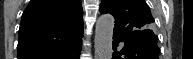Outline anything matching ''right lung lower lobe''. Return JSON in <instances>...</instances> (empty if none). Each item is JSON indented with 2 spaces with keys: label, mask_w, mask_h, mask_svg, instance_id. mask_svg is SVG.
<instances>
[{
  "label": "right lung lower lobe",
  "mask_w": 193,
  "mask_h": 59,
  "mask_svg": "<svg viewBox=\"0 0 193 59\" xmlns=\"http://www.w3.org/2000/svg\"><path fill=\"white\" fill-rule=\"evenodd\" d=\"M82 47V39L68 48L64 49L58 54L46 57L45 59H79L80 51Z\"/></svg>",
  "instance_id": "right-lung-lower-lobe-1"
}]
</instances>
